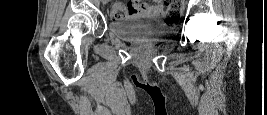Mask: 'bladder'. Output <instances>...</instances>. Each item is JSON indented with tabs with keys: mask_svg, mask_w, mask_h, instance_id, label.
<instances>
[{
	"mask_svg": "<svg viewBox=\"0 0 267 115\" xmlns=\"http://www.w3.org/2000/svg\"><path fill=\"white\" fill-rule=\"evenodd\" d=\"M161 17L157 13L126 14L121 19L109 23L110 32L125 41L158 40L164 38L168 31L156 24Z\"/></svg>",
	"mask_w": 267,
	"mask_h": 115,
	"instance_id": "31cf9c89",
	"label": "bladder"
}]
</instances>
